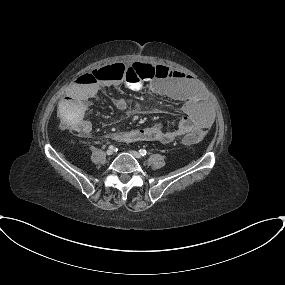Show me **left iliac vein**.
Segmentation results:
<instances>
[{
	"mask_svg": "<svg viewBox=\"0 0 285 285\" xmlns=\"http://www.w3.org/2000/svg\"><path fill=\"white\" fill-rule=\"evenodd\" d=\"M129 153L136 159H141V155L135 150H129Z\"/></svg>",
	"mask_w": 285,
	"mask_h": 285,
	"instance_id": "obj_1",
	"label": "left iliac vein"
}]
</instances>
